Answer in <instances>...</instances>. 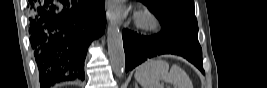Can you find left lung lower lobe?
Segmentation results:
<instances>
[{
	"label": "left lung lower lobe",
	"mask_w": 267,
	"mask_h": 88,
	"mask_svg": "<svg viewBox=\"0 0 267 88\" xmlns=\"http://www.w3.org/2000/svg\"><path fill=\"white\" fill-rule=\"evenodd\" d=\"M123 44L126 56V72L132 70L148 57L171 53L186 58L204 73L198 31L163 27L158 35L146 37L124 29Z\"/></svg>",
	"instance_id": "1"
}]
</instances>
